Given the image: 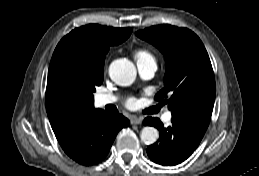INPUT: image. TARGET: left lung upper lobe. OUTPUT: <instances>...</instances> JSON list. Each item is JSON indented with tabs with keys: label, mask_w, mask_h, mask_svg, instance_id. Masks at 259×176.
Instances as JSON below:
<instances>
[{
	"label": "left lung upper lobe",
	"mask_w": 259,
	"mask_h": 176,
	"mask_svg": "<svg viewBox=\"0 0 259 176\" xmlns=\"http://www.w3.org/2000/svg\"><path fill=\"white\" fill-rule=\"evenodd\" d=\"M136 35L156 46L166 58L165 85L155 99L162 101L161 105L167 104L172 116L208 126L216 86L212 65L200 38L187 28L167 24L137 31Z\"/></svg>",
	"instance_id": "5c2ea615"
}]
</instances>
